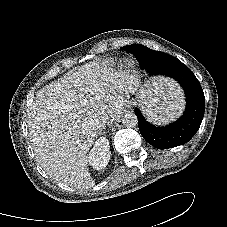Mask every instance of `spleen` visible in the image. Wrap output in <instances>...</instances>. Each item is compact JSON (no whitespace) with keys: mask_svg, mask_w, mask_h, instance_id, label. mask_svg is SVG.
<instances>
[{"mask_svg":"<svg viewBox=\"0 0 227 227\" xmlns=\"http://www.w3.org/2000/svg\"><path fill=\"white\" fill-rule=\"evenodd\" d=\"M152 86L143 100V111L148 119L159 124L175 119L182 109V103L177 99L181 92L173 82L165 79L154 81Z\"/></svg>","mask_w":227,"mask_h":227,"instance_id":"3e777b00","label":"spleen"}]
</instances>
